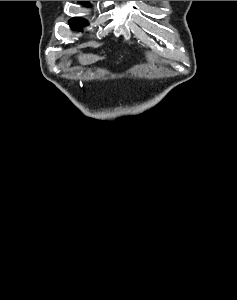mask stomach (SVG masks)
<instances>
[{
	"label": "stomach",
	"instance_id": "stomach-1",
	"mask_svg": "<svg viewBox=\"0 0 237 300\" xmlns=\"http://www.w3.org/2000/svg\"><path fill=\"white\" fill-rule=\"evenodd\" d=\"M146 57H147V59H149V61H154V63H155V61H156V63H157V61H159V57H157V55H155V53H147Z\"/></svg>",
	"mask_w": 237,
	"mask_h": 300
}]
</instances>
